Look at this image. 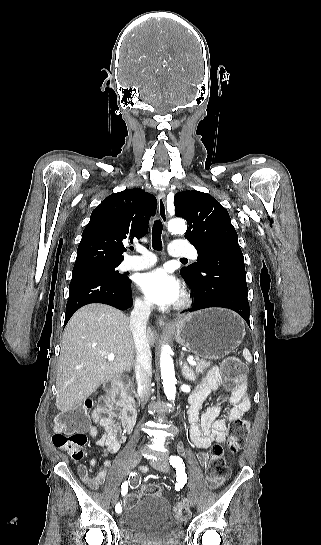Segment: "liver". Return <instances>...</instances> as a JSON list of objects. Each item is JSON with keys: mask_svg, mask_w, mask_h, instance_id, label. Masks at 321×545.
<instances>
[{"mask_svg": "<svg viewBox=\"0 0 321 545\" xmlns=\"http://www.w3.org/2000/svg\"><path fill=\"white\" fill-rule=\"evenodd\" d=\"M146 337L154 347L152 329H146ZM110 353L115 355L111 363L106 359ZM135 355L129 317L100 303L79 309L63 333L56 379L58 411L76 409L104 381L131 371Z\"/></svg>", "mask_w": 321, "mask_h": 545, "instance_id": "1", "label": "liver"}]
</instances>
